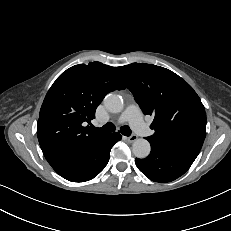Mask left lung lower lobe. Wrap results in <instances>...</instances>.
Instances as JSON below:
<instances>
[{"label":"left lung lower lobe","instance_id":"1","mask_svg":"<svg viewBox=\"0 0 231 231\" xmlns=\"http://www.w3.org/2000/svg\"><path fill=\"white\" fill-rule=\"evenodd\" d=\"M151 153L146 159H135L137 168L150 180L171 182L183 175L192 165L200 150L180 144L149 141Z\"/></svg>","mask_w":231,"mask_h":231}]
</instances>
